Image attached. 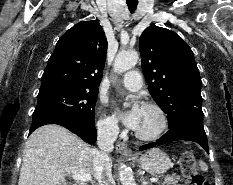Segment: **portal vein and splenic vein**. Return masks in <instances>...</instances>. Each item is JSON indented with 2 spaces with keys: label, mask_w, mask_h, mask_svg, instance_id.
Returning a JSON list of instances; mask_svg holds the SVG:
<instances>
[{
  "label": "portal vein and splenic vein",
  "mask_w": 233,
  "mask_h": 185,
  "mask_svg": "<svg viewBox=\"0 0 233 185\" xmlns=\"http://www.w3.org/2000/svg\"><path fill=\"white\" fill-rule=\"evenodd\" d=\"M72 178L76 181H81V182H89L92 180V177L89 174H73ZM159 181V178H151L150 182L152 183H157Z\"/></svg>",
  "instance_id": "18ae733b"
}]
</instances>
